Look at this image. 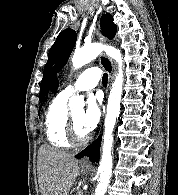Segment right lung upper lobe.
Instances as JSON below:
<instances>
[{
  "instance_id": "cb5924a9",
  "label": "right lung upper lobe",
  "mask_w": 178,
  "mask_h": 195,
  "mask_svg": "<svg viewBox=\"0 0 178 195\" xmlns=\"http://www.w3.org/2000/svg\"><path fill=\"white\" fill-rule=\"evenodd\" d=\"M58 86H59V81H58L57 78H55L54 83H53L52 88H51V91H52V92H55L56 89L58 88ZM46 99H47V98H45V100H46ZM40 107H41V106H40Z\"/></svg>"
}]
</instances>
